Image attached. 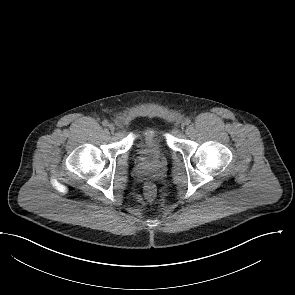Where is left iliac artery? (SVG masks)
I'll use <instances>...</instances> for the list:
<instances>
[{
	"mask_svg": "<svg viewBox=\"0 0 295 295\" xmlns=\"http://www.w3.org/2000/svg\"><path fill=\"white\" fill-rule=\"evenodd\" d=\"M190 123H191V120H190L189 118H186V119H185V124H186V125H189Z\"/></svg>",
	"mask_w": 295,
	"mask_h": 295,
	"instance_id": "left-iliac-artery-1",
	"label": "left iliac artery"
}]
</instances>
